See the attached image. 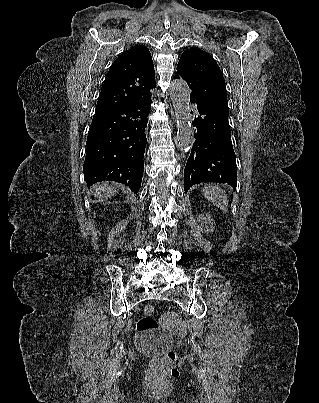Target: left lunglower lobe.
I'll return each instance as SVG.
<instances>
[{
  "label": "left lung lower lobe",
  "mask_w": 319,
  "mask_h": 403,
  "mask_svg": "<svg viewBox=\"0 0 319 403\" xmlns=\"http://www.w3.org/2000/svg\"><path fill=\"white\" fill-rule=\"evenodd\" d=\"M190 102L197 105L198 115L192 122L197 133L184 169V190L201 182L227 183L236 188V158L227 97L192 91Z\"/></svg>",
  "instance_id": "obj_1"
}]
</instances>
